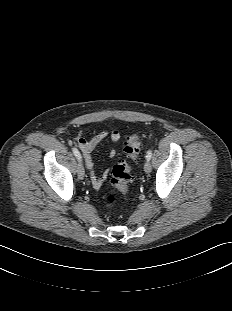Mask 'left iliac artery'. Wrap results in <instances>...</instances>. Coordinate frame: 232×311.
Masks as SVG:
<instances>
[{
  "label": "left iliac artery",
  "instance_id": "left-iliac-artery-1",
  "mask_svg": "<svg viewBox=\"0 0 232 311\" xmlns=\"http://www.w3.org/2000/svg\"><path fill=\"white\" fill-rule=\"evenodd\" d=\"M151 157H152V151H151V150H148V151H147V154H146L147 160H150Z\"/></svg>",
  "mask_w": 232,
  "mask_h": 311
}]
</instances>
